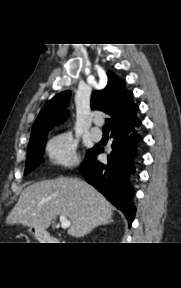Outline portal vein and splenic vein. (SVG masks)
I'll list each match as a JSON object with an SVG mask.
<instances>
[{"instance_id": "1", "label": "portal vein and splenic vein", "mask_w": 181, "mask_h": 288, "mask_svg": "<svg viewBox=\"0 0 181 288\" xmlns=\"http://www.w3.org/2000/svg\"><path fill=\"white\" fill-rule=\"evenodd\" d=\"M60 222H61V227H62L63 229H67V228H69L70 225H71V222H70V221L67 219V217L64 216V215H60Z\"/></svg>"}]
</instances>
